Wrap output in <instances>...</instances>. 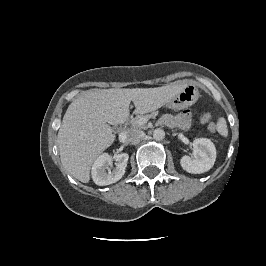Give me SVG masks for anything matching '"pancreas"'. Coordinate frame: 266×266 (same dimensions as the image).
Listing matches in <instances>:
<instances>
[{
	"mask_svg": "<svg viewBox=\"0 0 266 266\" xmlns=\"http://www.w3.org/2000/svg\"><path fill=\"white\" fill-rule=\"evenodd\" d=\"M154 115V113L152 114H148V115H137L135 118H132L130 123L132 125V128L134 129H144L145 128V123L141 122L140 119L143 118H150Z\"/></svg>",
	"mask_w": 266,
	"mask_h": 266,
	"instance_id": "pancreas-1",
	"label": "pancreas"
}]
</instances>
